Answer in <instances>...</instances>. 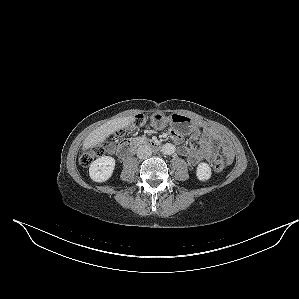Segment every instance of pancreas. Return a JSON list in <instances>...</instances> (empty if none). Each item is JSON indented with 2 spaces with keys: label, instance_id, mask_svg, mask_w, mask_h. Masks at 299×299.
Returning a JSON list of instances; mask_svg holds the SVG:
<instances>
[{
  "label": "pancreas",
  "instance_id": "cf45deb5",
  "mask_svg": "<svg viewBox=\"0 0 299 299\" xmlns=\"http://www.w3.org/2000/svg\"><path fill=\"white\" fill-rule=\"evenodd\" d=\"M145 139H146L145 137H139V138H137L138 141H143Z\"/></svg>",
  "mask_w": 299,
  "mask_h": 299
}]
</instances>
